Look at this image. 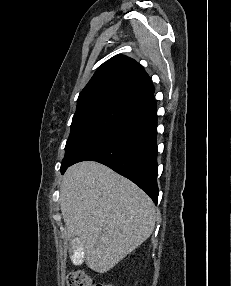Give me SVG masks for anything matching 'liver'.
<instances>
[{
  "mask_svg": "<svg viewBox=\"0 0 231 286\" xmlns=\"http://www.w3.org/2000/svg\"><path fill=\"white\" fill-rule=\"evenodd\" d=\"M60 208L72 245L84 249L87 266L105 273L152 234L155 205L127 178L86 161L69 167Z\"/></svg>",
  "mask_w": 231,
  "mask_h": 286,
  "instance_id": "obj_1",
  "label": "liver"
}]
</instances>
